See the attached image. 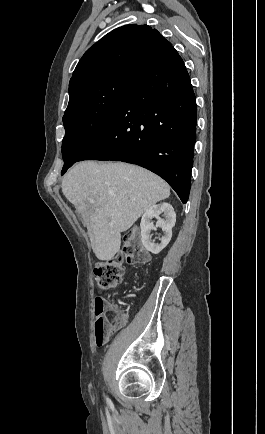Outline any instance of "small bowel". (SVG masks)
Here are the masks:
<instances>
[{
	"label": "small bowel",
	"instance_id": "obj_1",
	"mask_svg": "<svg viewBox=\"0 0 265 434\" xmlns=\"http://www.w3.org/2000/svg\"><path fill=\"white\" fill-rule=\"evenodd\" d=\"M126 321H127V317L124 314H122L119 325H114L113 329H117V328L123 326L126 323Z\"/></svg>",
	"mask_w": 265,
	"mask_h": 434
}]
</instances>
